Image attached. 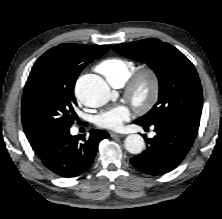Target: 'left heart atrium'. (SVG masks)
Returning a JSON list of instances; mask_svg holds the SVG:
<instances>
[{
	"label": "left heart atrium",
	"mask_w": 222,
	"mask_h": 219,
	"mask_svg": "<svg viewBox=\"0 0 222 219\" xmlns=\"http://www.w3.org/2000/svg\"><path fill=\"white\" fill-rule=\"evenodd\" d=\"M130 116L131 112L129 107L120 104L101 112L96 117V124L105 129L120 130L124 122L129 120Z\"/></svg>",
	"instance_id": "left-heart-atrium-1"
}]
</instances>
